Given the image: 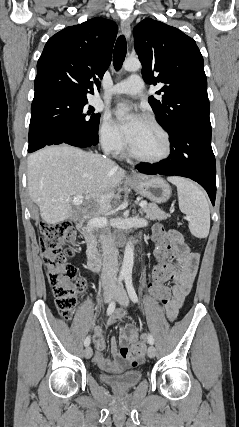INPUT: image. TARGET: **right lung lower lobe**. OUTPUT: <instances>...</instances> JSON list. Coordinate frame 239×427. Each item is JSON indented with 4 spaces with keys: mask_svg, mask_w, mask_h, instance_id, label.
Masks as SVG:
<instances>
[{
    "mask_svg": "<svg viewBox=\"0 0 239 427\" xmlns=\"http://www.w3.org/2000/svg\"><path fill=\"white\" fill-rule=\"evenodd\" d=\"M61 143H66V144H70V145L81 147V148H88V147L95 146L98 143V139H97V142H95L93 144H89V143H74V142H69V141H66V140H57V141L47 142L42 147H44L46 145L61 144ZM42 147H40V148H42ZM40 148L32 149V150L28 149V152L31 153V152H34V151L40 149Z\"/></svg>",
    "mask_w": 239,
    "mask_h": 427,
    "instance_id": "1",
    "label": "right lung lower lobe"
}]
</instances>
